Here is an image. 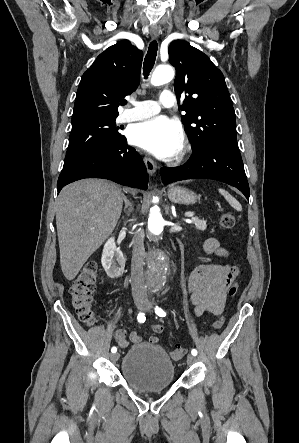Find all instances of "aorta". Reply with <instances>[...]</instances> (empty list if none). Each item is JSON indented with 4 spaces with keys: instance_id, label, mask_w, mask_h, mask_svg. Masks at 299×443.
<instances>
[{
    "instance_id": "762f6f07",
    "label": "aorta",
    "mask_w": 299,
    "mask_h": 443,
    "mask_svg": "<svg viewBox=\"0 0 299 443\" xmlns=\"http://www.w3.org/2000/svg\"><path fill=\"white\" fill-rule=\"evenodd\" d=\"M174 78V70L169 65H161L154 70L151 83L154 86H159L170 82ZM164 220L162 218L160 209L154 206L150 209L147 233L150 237L159 238L164 233ZM160 262L161 259L158 254H151L148 258V269L150 275V286L152 293H154L159 284L160 278Z\"/></svg>"
}]
</instances>
